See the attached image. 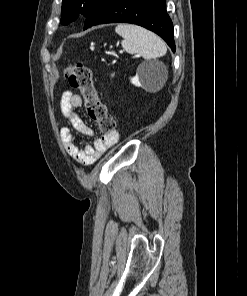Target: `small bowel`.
<instances>
[{
	"label": "small bowel",
	"mask_w": 247,
	"mask_h": 296,
	"mask_svg": "<svg viewBox=\"0 0 247 296\" xmlns=\"http://www.w3.org/2000/svg\"><path fill=\"white\" fill-rule=\"evenodd\" d=\"M82 104L81 96L71 90H66L61 95V112L71 127L80 134L92 136L94 131L84 122L77 111L82 107ZM60 135L68 154L84 166L93 164L108 148L115 145L119 138L118 132L114 131L112 134L95 139L92 145L80 147L70 128H61Z\"/></svg>",
	"instance_id": "small-bowel-1"
}]
</instances>
